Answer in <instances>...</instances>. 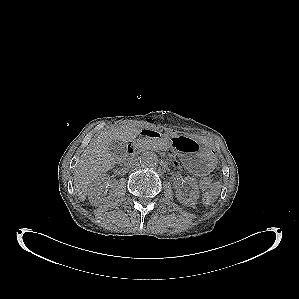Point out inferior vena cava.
Returning a JSON list of instances; mask_svg holds the SVG:
<instances>
[{"label": "inferior vena cava", "instance_id": "1", "mask_svg": "<svg viewBox=\"0 0 299 299\" xmlns=\"http://www.w3.org/2000/svg\"><path fill=\"white\" fill-rule=\"evenodd\" d=\"M138 161L136 160V159H132V160H130L128 163H127V166H129V167H136V166H138Z\"/></svg>", "mask_w": 299, "mask_h": 299}]
</instances>
